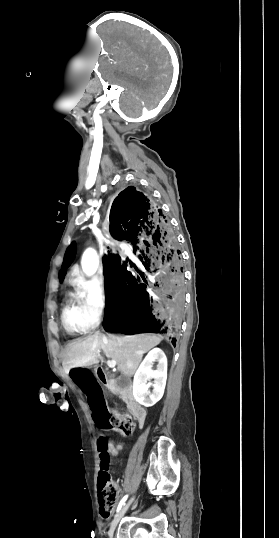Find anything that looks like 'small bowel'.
Returning <instances> with one entry per match:
<instances>
[{"mask_svg": "<svg viewBox=\"0 0 279 538\" xmlns=\"http://www.w3.org/2000/svg\"><path fill=\"white\" fill-rule=\"evenodd\" d=\"M110 450L113 456H117L119 454V451L122 449V446L120 444H114L110 443Z\"/></svg>", "mask_w": 279, "mask_h": 538, "instance_id": "1", "label": "small bowel"}]
</instances>
